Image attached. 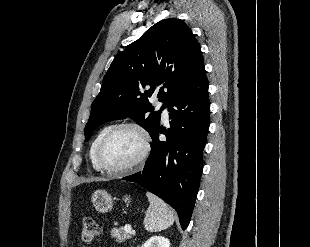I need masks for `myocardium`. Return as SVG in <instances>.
<instances>
[{"label":"myocardium","instance_id":"obj_1","mask_svg":"<svg viewBox=\"0 0 310 247\" xmlns=\"http://www.w3.org/2000/svg\"><path fill=\"white\" fill-rule=\"evenodd\" d=\"M123 129H132L136 131L141 137V151L139 155L131 163L120 167V168H109L105 166L101 161V152L107 141L117 132ZM151 149V139L148 131L140 124L136 122H122L113 127H111L106 134L100 140L96 152H95V161L100 170L106 172L109 175H123L128 172L133 171L136 168H139L146 161Z\"/></svg>","mask_w":310,"mask_h":247}]
</instances>
